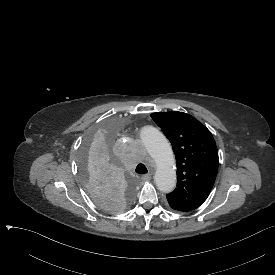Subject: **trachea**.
Wrapping results in <instances>:
<instances>
[{"label": "trachea", "mask_w": 275, "mask_h": 275, "mask_svg": "<svg viewBox=\"0 0 275 275\" xmlns=\"http://www.w3.org/2000/svg\"><path fill=\"white\" fill-rule=\"evenodd\" d=\"M136 172L139 174L147 173V168L145 167L144 164H138L136 167Z\"/></svg>", "instance_id": "3493384b"}]
</instances>
